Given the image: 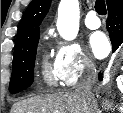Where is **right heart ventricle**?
<instances>
[{
  "label": "right heart ventricle",
  "mask_w": 123,
  "mask_h": 113,
  "mask_svg": "<svg viewBox=\"0 0 123 113\" xmlns=\"http://www.w3.org/2000/svg\"><path fill=\"white\" fill-rule=\"evenodd\" d=\"M43 79L44 81L51 86L56 85L58 79L56 77L54 67L50 66L48 63H43Z\"/></svg>",
  "instance_id": "1"
}]
</instances>
